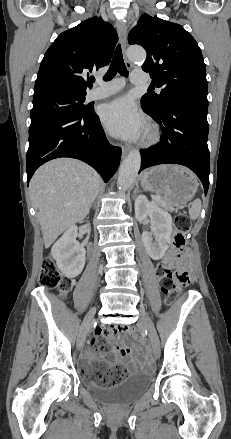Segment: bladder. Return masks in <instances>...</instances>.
Returning <instances> with one entry per match:
<instances>
[{
    "instance_id": "1",
    "label": "bladder",
    "mask_w": 231,
    "mask_h": 439,
    "mask_svg": "<svg viewBox=\"0 0 231 439\" xmlns=\"http://www.w3.org/2000/svg\"><path fill=\"white\" fill-rule=\"evenodd\" d=\"M94 370L93 365L80 367V374L83 378ZM152 376L147 373L137 374L128 377L117 385L103 387L99 385H90L88 390L91 396L97 401L113 406H122L129 404L135 398L140 396L150 386Z\"/></svg>"
}]
</instances>
